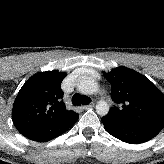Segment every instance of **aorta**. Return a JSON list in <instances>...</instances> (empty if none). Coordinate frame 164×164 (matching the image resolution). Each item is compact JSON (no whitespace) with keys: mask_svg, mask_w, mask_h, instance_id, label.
<instances>
[{"mask_svg":"<svg viewBox=\"0 0 164 164\" xmlns=\"http://www.w3.org/2000/svg\"><path fill=\"white\" fill-rule=\"evenodd\" d=\"M77 88L83 94H95L99 90L97 82L92 77L88 76H83L78 79ZM96 112L101 116L107 115L109 112L108 103L104 100H100L96 104Z\"/></svg>","mask_w":164,"mask_h":164,"instance_id":"762f6f07","label":"aorta"}]
</instances>
